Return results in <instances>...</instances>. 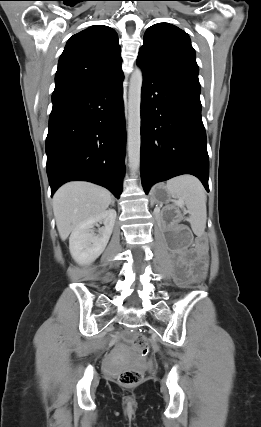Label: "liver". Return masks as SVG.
Segmentation results:
<instances>
[{
  "mask_svg": "<svg viewBox=\"0 0 261 427\" xmlns=\"http://www.w3.org/2000/svg\"><path fill=\"white\" fill-rule=\"evenodd\" d=\"M111 193L89 182H69L53 197V212L60 238L64 241L74 228L106 211Z\"/></svg>",
  "mask_w": 261,
  "mask_h": 427,
  "instance_id": "liver-1",
  "label": "liver"
}]
</instances>
